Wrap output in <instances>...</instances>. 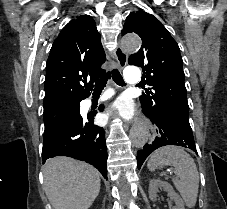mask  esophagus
Segmentation results:
<instances>
[{"instance_id":"esophagus-1","label":"esophagus","mask_w":227,"mask_h":209,"mask_svg":"<svg viewBox=\"0 0 227 209\" xmlns=\"http://www.w3.org/2000/svg\"><path fill=\"white\" fill-rule=\"evenodd\" d=\"M115 56L116 60L118 62L119 69L122 70L126 65L128 61V54L121 48L120 45H118L115 49ZM142 128H146V132L149 133L148 137H146V142L154 143L156 138V129L155 125L153 124L152 120H147L146 116L142 117Z\"/></svg>"}]
</instances>
